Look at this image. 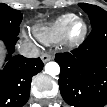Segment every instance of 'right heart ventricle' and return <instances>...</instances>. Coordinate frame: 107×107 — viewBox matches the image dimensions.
Returning a JSON list of instances; mask_svg holds the SVG:
<instances>
[{"label":"right heart ventricle","instance_id":"right-heart-ventricle-1","mask_svg":"<svg viewBox=\"0 0 107 107\" xmlns=\"http://www.w3.org/2000/svg\"><path fill=\"white\" fill-rule=\"evenodd\" d=\"M76 17L75 14L67 13L45 25L34 28V35L44 44H54L62 40L68 24Z\"/></svg>","mask_w":107,"mask_h":107}]
</instances>
